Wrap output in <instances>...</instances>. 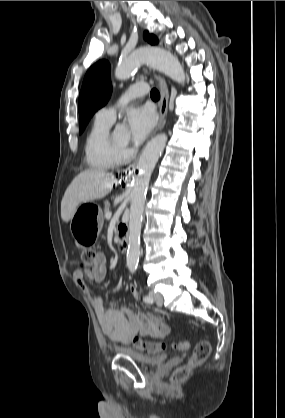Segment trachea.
<instances>
[{"mask_svg": "<svg viewBox=\"0 0 285 418\" xmlns=\"http://www.w3.org/2000/svg\"><path fill=\"white\" fill-rule=\"evenodd\" d=\"M151 97L152 98H160V94L156 89L151 90Z\"/></svg>", "mask_w": 285, "mask_h": 418, "instance_id": "trachea-1", "label": "trachea"}]
</instances>
